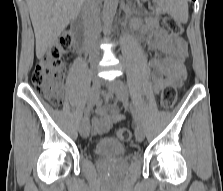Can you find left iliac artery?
Returning a JSON list of instances; mask_svg holds the SVG:
<instances>
[{"label": "left iliac artery", "mask_w": 223, "mask_h": 191, "mask_svg": "<svg viewBox=\"0 0 223 191\" xmlns=\"http://www.w3.org/2000/svg\"><path fill=\"white\" fill-rule=\"evenodd\" d=\"M130 110H131V113L133 115V119H134L135 124H138L139 119H138V115H137V111H136V106L134 104V98H133V105H130Z\"/></svg>", "instance_id": "1"}]
</instances>
